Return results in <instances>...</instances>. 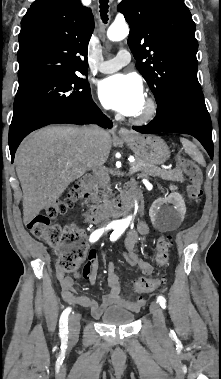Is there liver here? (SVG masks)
<instances>
[{"mask_svg":"<svg viewBox=\"0 0 221 379\" xmlns=\"http://www.w3.org/2000/svg\"><path fill=\"white\" fill-rule=\"evenodd\" d=\"M85 130L49 126L21 142L14 162L23 190L25 224L50 207L71 182L106 162L111 150L110 134L104 131L92 139Z\"/></svg>","mask_w":221,"mask_h":379,"instance_id":"1","label":"liver"}]
</instances>
